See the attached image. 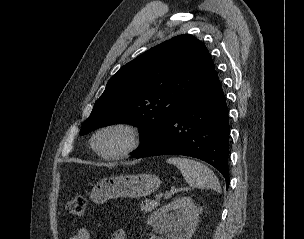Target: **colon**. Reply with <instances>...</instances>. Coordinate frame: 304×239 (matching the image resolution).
<instances>
[{"label":"colon","instance_id":"1","mask_svg":"<svg viewBox=\"0 0 304 239\" xmlns=\"http://www.w3.org/2000/svg\"><path fill=\"white\" fill-rule=\"evenodd\" d=\"M66 211L75 216L83 217L86 209V200L83 196H76L66 202Z\"/></svg>","mask_w":304,"mask_h":239}]
</instances>
